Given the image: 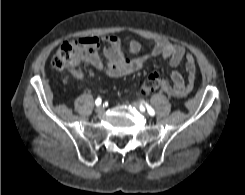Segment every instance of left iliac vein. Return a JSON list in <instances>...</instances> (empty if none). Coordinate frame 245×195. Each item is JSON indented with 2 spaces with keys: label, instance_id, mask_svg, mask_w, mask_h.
Masks as SVG:
<instances>
[{
  "label": "left iliac vein",
  "instance_id": "4c4485c4",
  "mask_svg": "<svg viewBox=\"0 0 245 195\" xmlns=\"http://www.w3.org/2000/svg\"><path fill=\"white\" fill-rule=\"evenodd\" d=\"M132 105L134 107L140 108V111L143 113V115L146 116V117H148V114L145 112L144 109H141V107L139 106V103L138 102H132Z\"/></svg>",
  "mask_w": 245,
  "mask_h": 195
}]
</instances>
